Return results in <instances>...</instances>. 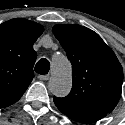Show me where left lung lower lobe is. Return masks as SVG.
I'll use <instances>...</instances> for the list:
<instances>
[{"mask_svg":"<svg viewBox=\"0 0 125 125\" xmlns=\"http://www.w3.org/2000/svg\"><path fill=\"white\" fill-rule=\"evenodd\" d=\"M106 115H101V116H94V117H83V118H78V117H72L71 119L81 122V123H94L98 120H100L101 118L105 117Z\"/></svg>","mask_w":125,"mask_h":125,"instance_id":"left-lung-lower-lobe-1","label":"left lung lower lobe"}]
</instances>
